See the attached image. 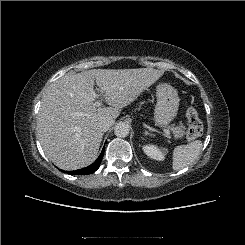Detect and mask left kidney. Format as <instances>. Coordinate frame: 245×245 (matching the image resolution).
Instances as JSON below:
<instances>
[{
  "label": "left kidney",
  "instance_id": "obj_1",
  "mask_svg": "<svg viewBox=\"0 0 245 245\" xmlns=\"http://www.w3.org/2000/svg\"><path fill=\"white\" fill-rule=\"evenodd\" d=\"M144 153L151 159L158 161L164 160V153L159 149L158 146L152 144H146L143 146Z\"/></svg>",
  "mask_w": 245,
  "mask_h": 245
}]
</instances>
